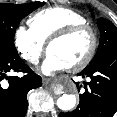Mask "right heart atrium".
Segmentation results:
<instances>
[{
	"label": "right heart atrium",
	"instance_id": "1",
	"mask_svg": "<svg viewBox=\"0 0 117 117\" xmlns=\"http://www.w3.org/2000/svg\"><path fill=\"white\" fill-rule=\"evenodd\" d=\"M13 41L19 55L30 64H37L45 51L44 42L22 25L16 28Z\"/></svg>",
	"mask_w": 117,
	"mask_h": 117
}]
</instances>
